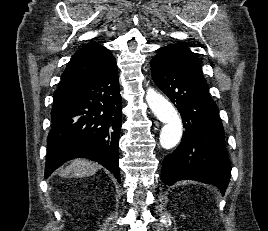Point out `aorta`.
<instances>
[{"mask_svg":"<svg viewBox=\"0 0 268 231\" xmlns=\"http://www.w3.org/2000/svg\"><path fill=\"white\" fill-rule=\"evenodd\" d=\"M146 101L153 114L164 126L160 133V144L164 149L175 147L182 136V121L174 106L154 89L148 88Z\"/></svg>","mask_w":268,"mask_h":231,"instance_id":"obj_1","label":"aorta"}]
</instances>
